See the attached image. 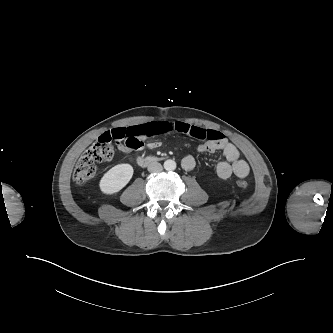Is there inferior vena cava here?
I'll use <instances>...</instances> for the list:
<instances>
[{
  "instance_id": "1",
  "label": "inferior vena cava",
  "mask_w": 333,
  "mask_h": 333,
  "mask_svg": "<svg viewBox=\"0 0 333 333\" xmlns=\"http://www.w3.org/2000/svg\"><path fill=\"white\" fill-rule=\"evenodd\" d=\"M163 170V167L160 163L158 162H152L149 164L148 166V171L152 172V173H157V172H161Z\"/></svg>"
}]
</instances>
